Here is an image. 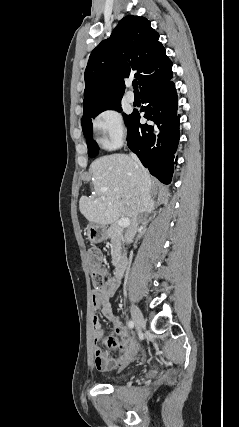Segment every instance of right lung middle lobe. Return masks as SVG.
Masks as SVG:
<instances>
[{
	"instance_id": "1",
	"label": "right lung middle lobe",
	"mask_w": 239,
	"mask_h": 427,
	"mask_svg": "<svg viewBox=\"0 0 239 427\" xmlns=\"http://www.w3.org/2000/svg\"><path fill=\"white\" fill-rule=\"evenodd\" d=\"M113 109L121 112V103L115 102L111 104H107L104 106H100L97 108L92 109L90 112H88L86 115L82 117L81 125L83 129L84 136L87 138V146H88V156L93 158L98 155L99 153V147L97 143L93 140V124H92V118L96 117L99 113L102 111ZM125 118V123L127 124L130 115L123 114Z\"/></svg>"
}]
</instances>
